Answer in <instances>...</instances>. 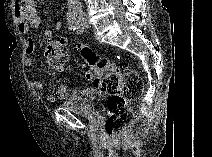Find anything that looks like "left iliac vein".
Masks as SVG:
<instances>
[{"mask_svg": "<svg viewBox=\"0 0 212 157\" xmlns=\"http://www.w3.org/2000/svg\"><path fill=\"white\" fill-rule=\"evenodd\" d=\"M78 22L83 29L90 28L91 26L89 20L86 17L80 18Z\"/></svg>", "mask_w": 212, "mask_h": 157, "instance_id": "obj_1", "label": "left iliac vein"}]
</instances>
